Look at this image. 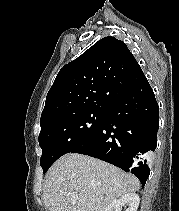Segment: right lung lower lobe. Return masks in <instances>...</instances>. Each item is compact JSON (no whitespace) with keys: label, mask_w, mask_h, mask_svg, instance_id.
<instances>
[{"label":"right lung lower lobe","mask_w":179,"mask_h":211,"mask_svg":"<svg viewBox=\"0 0 179 211\" xmlns=\"http://www.w3.org/2000/svg\"><path fill=\"white\" fill-rule=\"evenodd\" d=\"M159 108L146 77L108 108L98 131L72 152L89 155L131 172L144 187L148 159L156 149Z\"/></svg>","instance_id":"1"}]
</instances>
